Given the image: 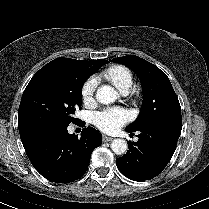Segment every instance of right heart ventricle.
<instances>
[{"label":"right heart ventricle","instance_id":"e07e8e85","mask_svg":"<svg viewBox=\"0 0 209 209\" xmlns=\"http://www.w3.org/2000/svg\"><path fill=\"white\" fill-rule=\"evenodd\" d=\"M105 76L120 92H128L133 85V75L131 71L124 66H112L105 72Z\"/></svg>","mask_w":209,"mask_h":209}]
</instances>
